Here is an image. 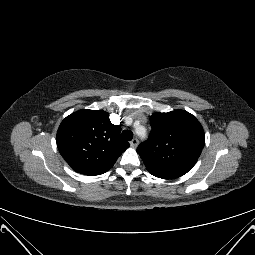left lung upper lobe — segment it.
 Masks as SVG:
<instances>
[{"instance_id": "5c2ea615", "label": "left lung upper lobe", "mask_w": 255, "mask_h": 255, "mask_svg": "<svg viewBox=\"0 0 255 255\" xmlns=\"http://www.w3.org/2000/svg\"><path fill=\"white\" fill-rule=\"evenodd\" d=\"M150 124L148 140L137 148L147 170L162 179L186 174L197 162L205 144L199 121L185 110H174L153 114Z\"/></svg>"}]
</instances>
